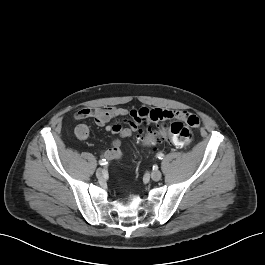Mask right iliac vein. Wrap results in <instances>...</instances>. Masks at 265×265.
<instances>
[{"label": "right iliac vein", "mask_w": 265, "mask_h": 265, "mask_svg": "<svg viewBox=\"0 0 265 265\" xmlns=\"http://www.w3.org/2000/svg\"><path fill=\"white\" fill-rule=\"evenodd\" d=\"M96 176H97V178H102V176H103V170L101 168H98L96 170Z\"/></svg>", "instance_id": "obj_1"}]
</instances>
